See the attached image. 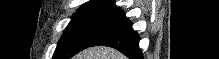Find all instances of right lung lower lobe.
I'll use <instances>...</instances> for the list:
<instances>
[{
    "instance_id": "obj_1",
    "label": "right lung lower lobe",
    "mask_w": 219,
    "mask_h": 59,
    "mask_svg": "<svg viewBox=\"0 0 219 59\" xmlns=\"http://www.w3.org/2000/svg\"><path fill=\"white\" fill-rule=\"evenodd\" d=\"M114 12L124 16V13L119 9ZM139 39L138 34L132 29V23L126 20L123 24L98 39L93 46H109L122 52L129 59H143L139 49Z\"/></svg>"
}]
</instances>
